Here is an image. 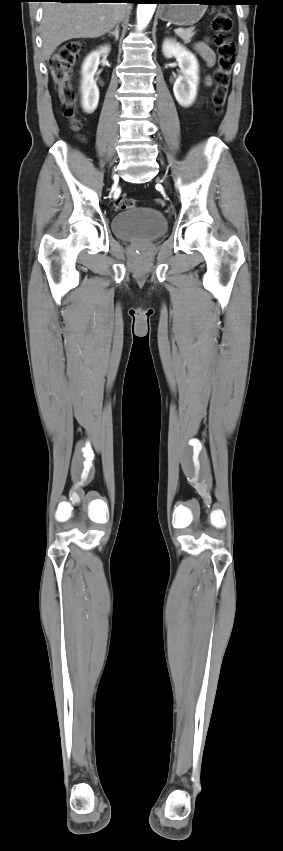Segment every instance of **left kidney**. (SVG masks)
I'll return each mask as SVG.
<instances>
[{"instance_id":"1","label":"left kidney","mask_w":283,"mask_h":851,"mask_svg":"<svg viewBox=\"0 0 283 851\" xmlns=\"http://www.w3.org/2000/svg\"><path fill=\"white\" fill-rule=\"evenodd\" d=\"M162 52L166 58H176L182 75L173 86L174 96L183 107H189L195 101L199 83V65L196 57L183 45L166 38Z\"/></svg>"}]
</instances>
